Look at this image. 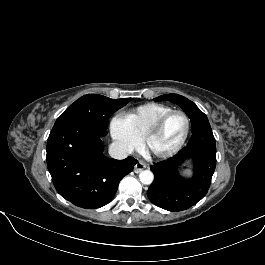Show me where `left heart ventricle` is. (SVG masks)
<instances>
[{
	"instance_id": "1",
	"label": "left heart ventricle",
	"mask_w": 265,
	"mask_h": 265,
	"mask_svg": "<svg viewBox=\"0 0 265 265\" xmlns=\"http://www.w3.org/2000/svg\"><path fill=\"white\" fill-rule=\"evenodd\" d=\"M185 130L186 121L184 117L179 114L171 115L151 141V148L161 151L174 147L182 139Z\"/></svg>"
}]
</instances>
